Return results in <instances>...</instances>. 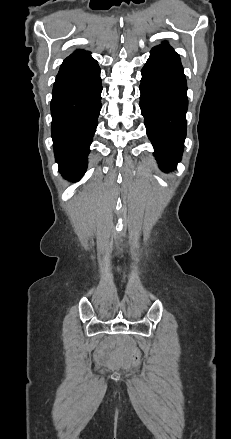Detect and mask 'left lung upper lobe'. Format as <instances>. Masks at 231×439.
<instances>
[{"label": "left lung upper lobe", "instance_id": "1", "mask_svg": "<svg viewBox=\"0 0 231 439\" xmlns=\"http://www.w3.org/2000/svg\"><path fill=\"white\" fill-rule=\"evenodd\" d=\"M159 46H165V47H170L168 44H166V43H163L162 45H159Z\"/></svg>", "mask_w": 231, "mask_h": 439}]
</instances>
